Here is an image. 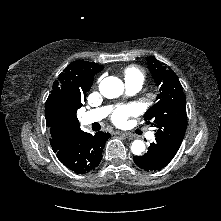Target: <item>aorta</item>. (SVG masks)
<instances>
[{
  "mask_svg": "<svg viewBox=\"0 0 221 221\" xmlns=\"http://www.w3.org/2000/svg\"><path fill=\"white\" fill-rule=\"evenodd\" d=\"M99 90L105 98L113 99L122 95L124 84L119 78L109 76L101 81ZM131 151L134 155H141L145 151V143L142 140L133 141Z\"/></svg>",
  "mask_w": 221,
  "mask_h": 221,
  "instance_id": "762f6f07",
  "label": "aorta"
}]
</instances>
